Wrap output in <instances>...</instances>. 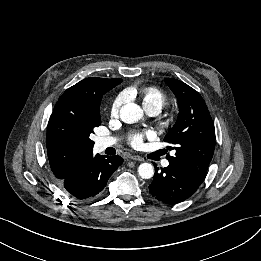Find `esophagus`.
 <instances>
[{
    "label": "esophagus",
    "instance_id": "obj_1",
    "mask_svg": "<svg viewBox=\"0 0 261 261\" xmlns=\"http://www.w3.org/2000/svg\"><path fill=\"white\" fill-rule=\"evenodd\" d=\"M130 159L136 160V161H144V158L138 155H131Z\"/></svg>",
    "mask_w": 261,
    "mask_h": 261
}]
</instances>
